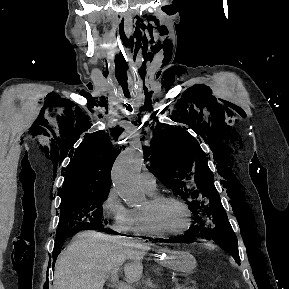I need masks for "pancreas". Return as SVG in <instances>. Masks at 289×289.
Instances as JSON below:
<instances>
[{"label":"pancreas","instance_id":"pancreas-1","mask_svg":"<svg viewBox=\"0 0 289 289\" xmlns=\"http://www.w3.org/2000/svg\"><path fill=\"white\" fill-rule=\"evenodd\" d=\"M179 289H197L196 286H185V285H180V284H177V286Z\"/></svg>","mask_w":289,"mask_h":289}]
</instances>
